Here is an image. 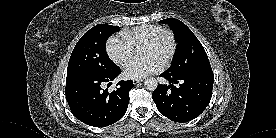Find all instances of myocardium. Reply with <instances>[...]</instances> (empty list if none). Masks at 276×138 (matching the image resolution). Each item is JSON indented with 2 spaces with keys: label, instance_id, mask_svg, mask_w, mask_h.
Segmentation results:
<instances>
[{
  "label": "myocardium",
  "instance_id": "1",
  "mask_svg": "<svg viewBox=\"0 0 276 138\" xmlns=\"http://www.w3.org/2000/svg\"><path fill=\"white\" fill-rule=\"evenodd\" d=\"M164 37H168L170 40V51L168 53V55L166 56V58L164 59V61L162 62L163 66H168L171 61L173 60L176 50H177V39L176 36L174 34V32L170 29H162L161 31H159L158 33H156L151 39H149L145 44V46H156L158 45L161 40Z\"/></svg>",
  "mask_w": 276,
  "mask_h": 138
}]
</instances>
